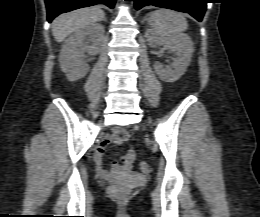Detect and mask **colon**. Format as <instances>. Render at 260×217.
I'll return each mask as SVG.
<instances>
[{"label": "colon", "instance_id": "1", "mask_svg": "<svg viewBox=\"0 0 260 217\" xmlns=\"http://www.w3.org/2000/svg\"><path fill=\"white\" fill-rule=\"evenodd\" d=\"M139 167L143 172H147L150 169L149 163L145 161L140 162ZM109 191L113 196H116L119 199H125L127 196V190L122 185H114Z\"/></svg>", "mask_w": 260, "mask_h": 217}]
</instances>
